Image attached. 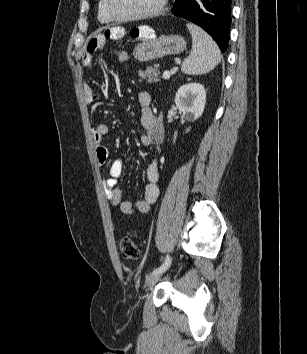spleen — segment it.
Listing matches in <instances>:
<instances>
[{
    "label": "spleen",
    "mask_w": 307,
    "mask_h": 354,
    "mask_svg": "<svg viewBox=\"0 0 307 354\" xmlns=\"http://www.w3.org/2000/svg\"><path fill=\"white\" fill-rule=\"evenodd\" d=\"M192 36V51L184 60L181 71L188 75H201L212 71L221 61V53L212 37L200 27L188 23Z\"/></svg>",
    "instance_id": "1"
}]
</instances>
